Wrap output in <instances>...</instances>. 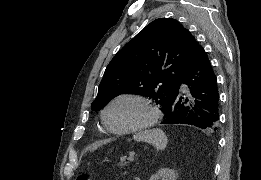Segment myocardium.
Here are the masks:
<instances>
[{
  "instance_id": "obj_1",
  "label": "myocardium",
  "mask_w": 261,
  "mask_h": 180,
  "mask_svg": "<svg viewBox=\"0 0 261 180\" xmlns=\"http://www.w3.org/2000/svg\"><path fill=\"white\" fill-rule=\"evenodd\" d=\"M122 100H134L141 103L146 108V114L144 119L138 126L126 130H116L109 123L108 113L113 105H115L116 103ZM157 115L158 114H157L156 104L149 97L138 92H123L113 97L104 106L102 111V122L104 127L110 134L118 137H129V136H136L148 132L153 127L157 119Z\"/></svg>"
}]
</instances>
